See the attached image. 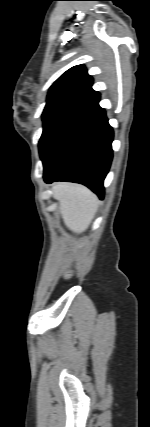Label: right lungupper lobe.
<instances>
[{"mask_svg":"<svg viewBox=\"0 0 150 427\" xmlns=\"http://www.w3.org/2000/svg\"><path fill=\"white\" fill-rule=\"evenodd\" d=\"M92 84L93 79L84 65L70 68L49 89L45 109L71 108L82 111L88 108L100 99V94L91 88Z\"/></svg>","mask_w":150,"mask_h":427,"instance_id":"obj_1","label":"right lung upper lobe"}]
</instances>
